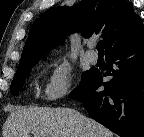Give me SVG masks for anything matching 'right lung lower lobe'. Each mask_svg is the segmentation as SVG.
Here are the masks:
<instances>
[{
  "instance_id": "obj_1",
  "label": "right lung lower lobe",
  "mask_w": 144,
  "mask_h": 137,
  "mask_svg": "<svg viewBox=\"0 0 144 137\" xmlns=\"http://www.w3.org/2000/svg\"><path fill=\"white\" fill-rule=\"evenodd\" d=\"M106 62L108 71L94 69L76 99L94 120L119 136L144 137V35L108 51ZM109 75L113 78L103 82Z\"/></svg>"
}]
</instances>
